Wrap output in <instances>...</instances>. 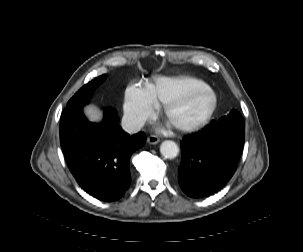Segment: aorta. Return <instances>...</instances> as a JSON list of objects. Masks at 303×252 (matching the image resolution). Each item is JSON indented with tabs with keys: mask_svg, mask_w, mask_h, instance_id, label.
<instances>
[{
	"mask_svg": "<svg viewBox=\"0 0 303 252\" xmlns=\"http://www.w3.org/2000/svg\"><path fill=\"white\" fill-rule=\"evenodd\" d=\"M160 153L168 159L175 158L179 153V148L174 141L165 140L160 145Z\"/></svg>",
	"mask_w": 303,
	"mask_h": 252,
	"instance_id": "762f6f07",
	"label": "aorta"
}]
</instances>
